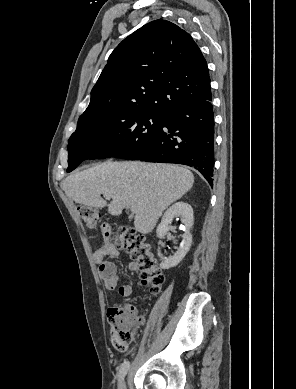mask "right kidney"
Masks as SVG:
<instances>
[{
  "label": "right kidney",
  "mask_w": 296,
  "mask_h": 389,
  "mask_svg": "<svg viewBox=\"0 0 296 389\" xmlns=\"http://www.w3.org/2000/svg\"><path fill=\"white\" fill-rule=\"evenodd\" d=\"M183 223L182 230L184 234L182 235V242L180 243L179 248L173 256L166 257L162 260L160 267L162 269H169L177 266L185 255L188 253L191 244H192V235L190 229L193 226V209L188 203L177 202L173 204L167 211L164 213L161 223L157 227L156 233L159 239L163 238L165 234L170 230L172 221L176 218H179Z\"/></svg>",
  "instance_id": "obj_1"
}]
</instances>
